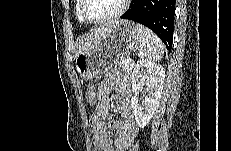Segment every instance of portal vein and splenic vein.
<instances>
[{"mask_svg": "<svg viewBox=\"0 0 231 151\" xmlns=\"http://www.w3.org/2000/svg\"><path fill=\"white\" fill-rule=\"evenodd\" d=\"M124 62H125V63H131V62H132V60H131V59H129V58H125V59H124Z\"/></svg>", "mask_w": 231, "mask_h": 151, "instance_id": "18ae733b", "label": "portal vein and splenic vein"}]
</instances>
